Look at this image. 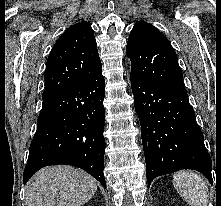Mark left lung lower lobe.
Returning <instances> with one entry per match:
<instances>
[{
    "label": "left lung lower lobe",
    "instance_id": "obj_1",
    "mask_svg": "<svg viewBox=\"0 0 221 206\" xmlns=\"http://www.w3.org/2000/svg\"><path fill=\"white\" fill-rule=\"evenodd\" d=\"M141 124L148 187L160 175L181 169L203 173L212 183V162L188 95L131 76Z\"/></svg>",
    "mask_w": 221,
    "mask_h": 206
}]
</instances>
